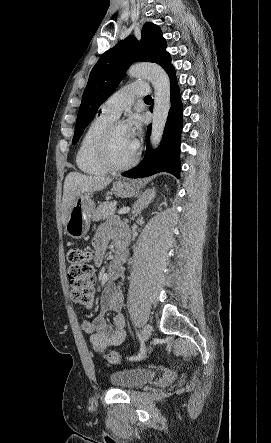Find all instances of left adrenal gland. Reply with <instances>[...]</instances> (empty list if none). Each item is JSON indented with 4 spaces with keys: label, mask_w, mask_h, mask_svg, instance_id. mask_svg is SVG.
I'll return each instance as SVG.
<instances>
[{
    "label": "left adrenal gland",
    "mask_w": 271,
    "mask_h": 443,
    "mask_svg": "<svg viewBox=\"0 0 271 443\" xmlns=\"http://www.w3.org/2000/svg\"><path fill=\"white\" fill-rule=\"evenodd\" d=\"M156 196V188H153V190H146V192H144V194H142V196H140V198L136 200L133 206L132 218H136L138 214H141L142 210H144V208H147L148 204H151Z\"/></svg>",
    "instance_id": "obj_1"
}]
</instances>
